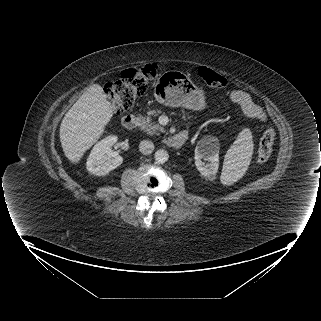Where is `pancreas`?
<instances>
[{"mask_svg": "<svg viewBox=\"0 0 321 321\" xmlns=\"http://www.w3.org/2000/svg\"><path fill=\"white\" fill-rule=\"evenodd\" d=\"M182 112H183V115H182L183 119L191 118V116H189L188 114L186 115L184 111ZM158 113H159L158 111L151 110L147 113V116L141 117L140 128L150 135H153V134L159 135L160 134L159 132H165L162 126H160L158 123L153 122L151 119V116H157Z\"/></svg>", "mask_w": 321, "mask_h": 321, "instance_id": "obj_1", "label": "pancreas"}]
</instances>
